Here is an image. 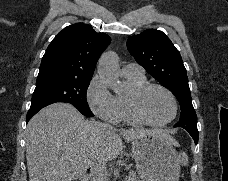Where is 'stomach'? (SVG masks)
<instances>
[{
	"instance_id": "1",
	"label": "stomach",
	"mask_w": 228,
	"mask_h": 181,
	"mask_svg": "<svg viewBox=\"0 0 228 181\" xmlns=\"http://www.w3.org/2000/svg\"><path fill=\"white\" fill-rule=\"evenodd\" d=\"M132 153L141 181H179V155L170 137L146 133L132 141Z\"/></svg>"
}]
</instances>
